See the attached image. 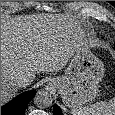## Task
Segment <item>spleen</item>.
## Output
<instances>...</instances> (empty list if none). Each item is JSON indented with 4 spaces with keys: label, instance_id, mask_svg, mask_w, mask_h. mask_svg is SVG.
Listing matches in <instances>:
<instances>
[{
    "label": "spleen",
    "instance_id": "1",
    "mask_svg": "<svg viewBox=\"0 0 115 115\" xmlns=\"http://www.w3.org/2000/svg\"><path fill=\"white\" fill-rule=\"evenodd\" d=\"M73 115H115V97L109 102H97L95 104L72 109Z\"/></svg>",
    "mask_w": 115,
    "mask_h": 115
}]
</instances>
